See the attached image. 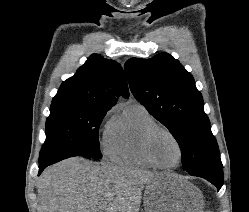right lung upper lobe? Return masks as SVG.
<instances>
[{"instance_id": "obj_1", "label": "right lung upper lobe", "mask_w": 249, "mask_h": 212, "mask_svg": "<svg viewBox=\"0 0 249 212\" xmlns=\"http://www.w3.org/2000/svg\"><path fill=\"white\" fill-rule=\"evenodd\" d=\"M120 95L129 97L122 67L116 61L93 54L73 77L63 82L52 101H78L111 108Z\"/></svg>"}]
</instances>
